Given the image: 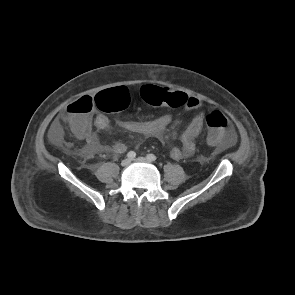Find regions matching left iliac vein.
<instances>
[{
    "instance_id": "left-iliac-vein-1",
    "label": "left iliac vein",
    "mask_w": 295,
    "mask_h": 295,
    "mask_svg": "<svg viewBox=\"0 0 295 295\" xmlns=\"http://www.w3.org/2000/svg\"><path fill=\"white\" fill-rule=\"evenodd\" d=\"M135 162H140V163H149L150 161L144 157H138L134 159Z\"/></svg>"
}]
</instances>
